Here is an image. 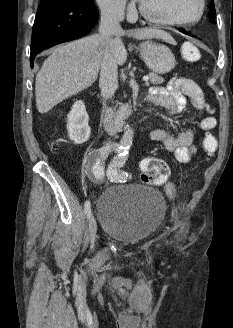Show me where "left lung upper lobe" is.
<instances>
[{
    "label": "left lung upper lobe",
    "mask_w": 233,
    "mask_h": 328,
    "mask_svg": "<svg viewBox=\"0 0 233 328\" xmlns=\"http://www.w3.org/2000/svg\"><path fill=\"white\" fill-rule=\"evenodd\" d=\"M214 17H215V7H214V3L211 2L209 6V18L212 23L216 24Z\"/></svg>",
    "instance_id": "left-lung-upper-lobe-1"
}]
</instances>
